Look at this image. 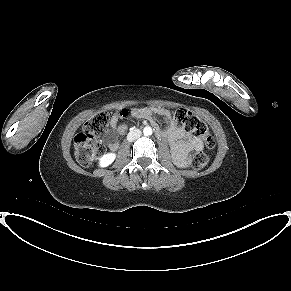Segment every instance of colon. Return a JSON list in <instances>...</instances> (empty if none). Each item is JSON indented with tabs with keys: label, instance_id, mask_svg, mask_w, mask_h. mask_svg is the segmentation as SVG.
Here are the masks:
<instances>
[{
	"label": "colon",
	"instance_id": "5ec220e1",
	"mask_svg": "<svg viewBox=\"0 0 291 291\" xmlns=\"http://www.w3.org/2000/svg\"><path fill=\"white\" fill-rule=\"evenodd\" d=\"M120 117H126L128 110L119 111ZM172 118L181 129L199 136L207 148L214 147V138L209 134L205 122L192 112L179 108L171 113ZM110 114L99 112L92 116L84 125L83 130L75 138V157L82 166L95 163L105 151L104 146L97 140L108 128ZM208 162V156L203 152H196L188 157V164L193 169H202Z\"/></svg>",
	"mask_w": 291,
	"mask_h": 291
}]
</instances>
